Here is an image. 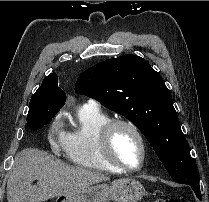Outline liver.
<instances>
[{
  "label": "liver",
  "mask_w": 209,
  "mask_h": 202,
  "mask_svg": "<svg viewBox=\"0 0 209 202\" xmlns=\"http://www.w3.org/2000/svg\"><path fill=\"white\" fill-rule=\"evenodd\" d=\"M37 180V185H32ZM106 175L73 167L38 149H24L15 157L7 181L8 202H43L107 181Z\"/></svg>",
  "instance_id": "1"
}]
</instances>
